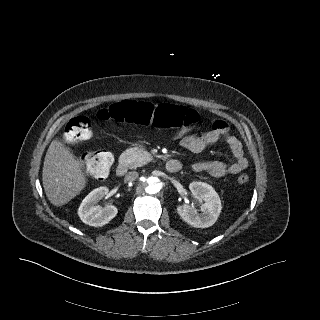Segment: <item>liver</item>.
<instances>
[{
    "instance_id": "6515ba94",
    "label": "liver",
    "mask_w": 320,
    "mask_h": 320,
    "mask_svg": "<svg viewBox=\"0 0 320 320\" xmlns=\"http://www.w3.org/2000/svg\"><path fill=\"white\" fill-rule=\"evenodd\" d=\"M42 181L48 200L57 207L78 195L86 183L73 154L57 140H53L47 150Z\"/></svg>"
}]
</instances>
